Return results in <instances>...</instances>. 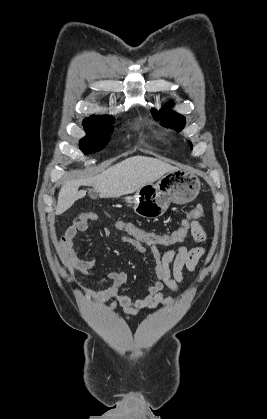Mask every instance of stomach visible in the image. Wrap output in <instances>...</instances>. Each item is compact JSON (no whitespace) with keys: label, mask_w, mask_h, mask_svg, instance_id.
Here are the masks:
<instances>
[{"label":"stomach","mask_w":267,"mask_h":419,"mask_svg":"<svg viewBox=\"0 0 267 419\" xmlns=\"http://www.w3.org/2000/svg\"><path fill=\"white\" fill-rule=\"evenodd\" d=\"M201 182L197 175L185 168H176L165 173L157 183H148L125 202L132 205L134 212L144 218H158L170 206L191 202L199 194Z\"/></svg>","instance_id":"0dacf381"}]
</instances>
